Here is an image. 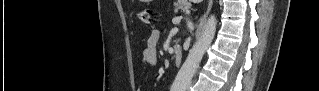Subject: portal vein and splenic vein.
Listing matches in <instances>:
<instances>
[{
    "label": "portal vein and splenic vein",
    "instance_id": "18ae733b",
    "mask_svg": "<svg viewBox=\"0 0 319 91\" xmlns=\"http://www.w3.org/2000/svg\"><path fill=\"white\" fill-rule=\"evenodd\" d=\"M181 19H182V17H181V16H178V17H175V18L172 20V22H173L174 24L180 23Z\"/></svg>",
    "mask_w": 319,
    "mask_h": 91
}]
</instances>
